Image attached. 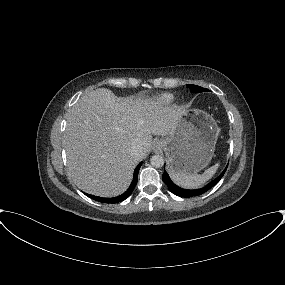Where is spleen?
Listing matches in <instances>:
<instances>
[{
    "instance_id": "spleen-1",
    "label": "spleen",
    "mask_w": 285,
    "mask_h": 285,
    "mask_svg": "<svg viewBox=\"0 0 285 285\" xmlns=\"http://www.w3.org/2000/svg\"><path fill=\"white\" fill-rule=\"evenodd\" d=\"M219 164L208 168L203 174H176L170 173L172 180L183 188H198L207 182L216 173Z\"/></svg>"
}]
</instances>
